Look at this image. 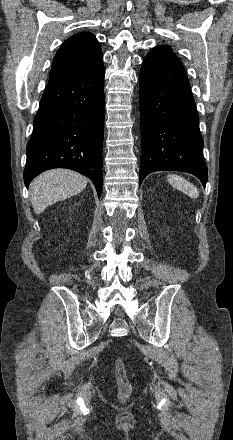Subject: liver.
<instances>
[{"instance_id":"1","label":"liver","mask_w":233,"mask_h":440,"mask_svg":"<svg viewBox=\"0 0 233 440\" xmlns=\"http://www.w3.org/2000/svg\"><path fill=\"white\" fill-rule=\"evenodd\" d=\"M86 177L67 169H52L37 176L30 185V199L39 215L47 207L80 193L87 186Z\"/></svg>"}]
</instances>
